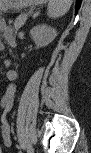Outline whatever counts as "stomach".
Here are the masks:
<instances>
[{
    "label": "stomach",
    "instance_id": "1",
    "mask_svg": "<svg viewBox=\"0 0 91 153\" xmlns=\"http://www.w3.org/2000/svg\"><path fill=\"white\" fill-rule=\"evenodd\" d=\"M38 3V1L35 0H16V1H11V0H1L0 5L2 8L8 7L9 5L15 4L18 7L20 6H27V5H32Z\"/></svg>",
    "mask_w": 91,
    "mask_h": 153
}]
</instances>
